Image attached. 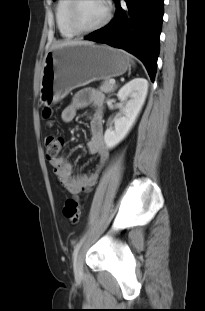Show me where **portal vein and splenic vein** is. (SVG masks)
Returning <instances> with one entry per match:
<instances>
[{
	"label": "portal vein and splenic vein",
	"instance_id": "portal-vein-and-splenic-vein-1",
	"mask_svg": "<svg viewBox=\"0 0 205 311\" xmlns=\"http://www.w3.org/2000/svg\"><path fill=\"white\" fill-rule=\"evenodd\" d=\"M110 83L111 84H115V80L114 79H110Z\"/></svg>",
	"mask_w": 205,
	"mask_h": 311
}]
</instances>
